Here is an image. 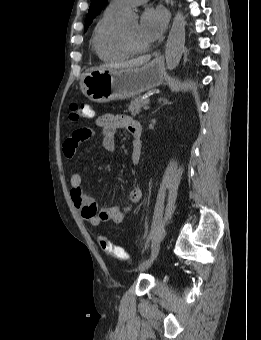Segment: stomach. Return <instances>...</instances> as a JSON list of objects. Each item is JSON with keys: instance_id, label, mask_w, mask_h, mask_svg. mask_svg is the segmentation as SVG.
<instances>
[{"instance_id": "0dacf381", "label": "stomach", "mask_w": 261, "mask_h": 340, "mask_svg": "<svg viewBox=\"0 0 261 340\" xmlns=\"http://www.w3.org/2000/svg\"><path fill=\"white\" fill-rule=\"evenodd\" d=\"M164 64L154 59L142 67L96 69L82 76V93L94 102L128 99L162 84Z\"/></svg>"}]
</instances>
